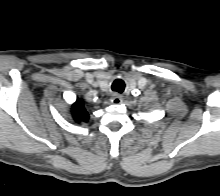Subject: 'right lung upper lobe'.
Returning a JSON list of instances; mask_svg holds the SVG:
<instances>
[{
	"label": "right lung upper lobe",
	"mask_w": 220,
	"mask_h": 196,
	"mask_svg": "<svg viewBox=\"0 0 220 196\" xmlns=\"http://www.w3.org/2000/svg\"><path fill=\"white\" fill-rule=\"evenodd\" d=\"M72 114L76 122H87L89 119V114L85 109L81 99H77L76 102L72 105Z\"/></svg>",
	"instance_id": "1"
}]
</instances>
